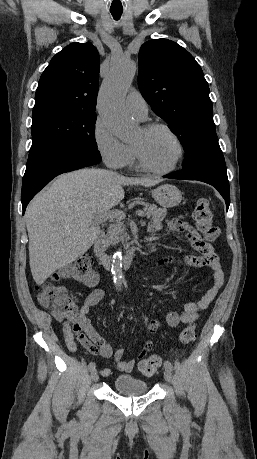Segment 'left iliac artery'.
<instances>
[{"label": "left iliac artery", "mask_w": 257, "mask_h": 459, "mask_svg": "<svg viewBox=\"0 0 257 459\" xmlns=\"http://www.w3.org/2000/svg\"><path fill=\"white\" fill-rule=\"evenodd\" d=\"M164 367L169 369V370L173 369V366H172L171 362H169V361H165L164 362Z\"/></svg>", "instance_id": "left-iliac-artery-1"}]
</instances>
